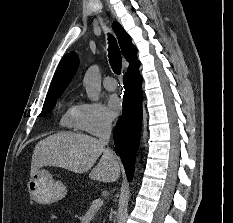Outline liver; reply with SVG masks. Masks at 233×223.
I'll return each instance as SVG.
<instances>
[{
  "instance_id": "obj_1",
  "label": "liver",
  "mask_w": 233,
  "mask_h": 223,
  "mask_svg": "<svg viewBox=\"0 0 233 223\" xmlns=\"http://www.w3.org/2000/svg\"><path fill=\"white\" fill-rule=\"evenodd\" d=\"M44 165L64 167L74 173L89 171L90 179L104 183H113L121 173L117 155H114L111 149H106L105 145L92 135L71 131L53 133L36 143L31 161V177Z\"/></svg>"
}]
</instances>
